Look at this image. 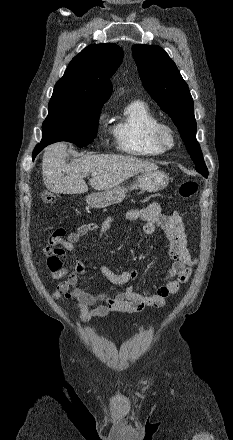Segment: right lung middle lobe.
<instances>
[{"mask_svg": "<svg viewBox=\"0 0 233 440\" xmlns=\"http://www.w3.org/2000/svg\"><path fill=\"white\" fill-rule=\"evenodd\" d=\"M103 104L49 102V114L42 126L43 144L68 141L83 147L97 136Z\"/></svg>", "mask_w": 233, "mask_h": 440, "instance_id": "right-lung-middle-lobe-1", "label": "right lung middle lobe"}]
</instances>
